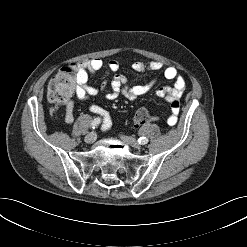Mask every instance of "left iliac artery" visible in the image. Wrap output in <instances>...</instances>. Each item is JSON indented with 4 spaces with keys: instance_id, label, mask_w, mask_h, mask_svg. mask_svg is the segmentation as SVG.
I'll return each instance as SVG.
<instances>
[{
    "instance_id": "obj_1",
    "label": "left iliac artery",
    "mask_w": 247,
    "mask_h": 247,
    "mask_svg": "<svg viewBox=\"0 0 247 247\" xmlns=\"http://www.w3.org/2000/svg\"><path fill=\"white\" fill-rule=\"evenodd\" d=\"M148 138H146V137H140L139 139H138V142L140 143V144H142V145H145V144H147L148 143Z\"/></svg>"
}]
</instances>
